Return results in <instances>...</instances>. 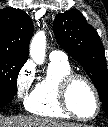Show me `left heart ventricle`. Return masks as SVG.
I'll use <instances>...</instances> for the list:
<instances>
[{
    "label": "left heart ventricle",
    "mask_w": 108,
    "mask_h": 127,
    "mask_svg": "<svg viewBox=\"0 0 108 127\" xmlns=\"http://www.w3.org/2000/svg\"><path fill=\"white\" fill-rule=\"evenodd\" d=\"M72 108L83 117L91 116L96 108V100L91 89L82 81H77L70 92Z\"/></svg>",
    "instance_id": "b2bd125f"
}]
</instances>
